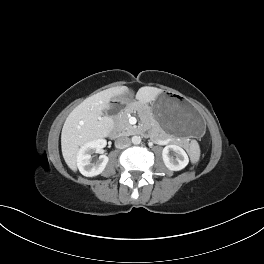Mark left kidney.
<instances>
[{
    "label": "left kidney",
    "mask_w": 264,
    "mask_h": 264,
    "mask_svg": "<svg viewBox=\"0 0 264 264\" xmlns=\"http://www.w3.org/2000/svg\"><path fill=\"white\" fill-rule=\"evenodd\" d=\"M173 155L176 156V158H174ZM162 158L166 167L171 171L182 170L189 163V158L186 152L180 146L175 144H170L164 147Z\"/></svg>",
    "instance_id": "left-kidney-1"
}]
</instances>
